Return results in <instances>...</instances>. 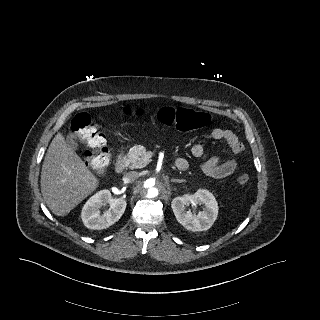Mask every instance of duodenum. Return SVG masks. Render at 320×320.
<instances>
[{"label": "duodenum", "instance_id": "410a0bca", "mask_svg": "<svg viewBox=\"0 0 320 320\" xmlns=\"http://www.w3.org/2000/svg\"><path fill=\"white\" fill-rule=\"evenodd\" d=\"M175 166L178 170L184 171L187 169L188 164L185 160L180 159V160H176ZM125 168H126L125 158H124L123 154H119L117 156V160L115 163V170L118 173H122L125 170Z\"/></svg>", "mask_w": 320, "mask_h": 320}]
</instances>
